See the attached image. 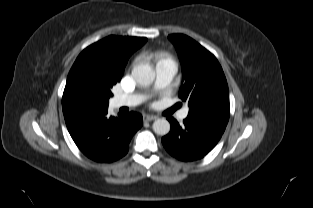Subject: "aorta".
I'll list each match as a JSON object with an SVG mask.
<instances>
[{
	"label": "aorta",
	"mask_w": 313,
	"mask_h": 208,
	"mask_svg": "<svg viewBox=\"0 0 313 208\" xmlns=\"http://www.w3.org/2000/svg\"><path fill=\"white\" fill-rule=\"evenodd\" d=\"M132 76L138 84L147 86L153 83L155 72L149 64H138L133 67ZM152 128L157 135L164 136L170 131V123L165 118H160L154 121Z\"/></svg>",
	"instance_id": "1"
}]
</instances>
